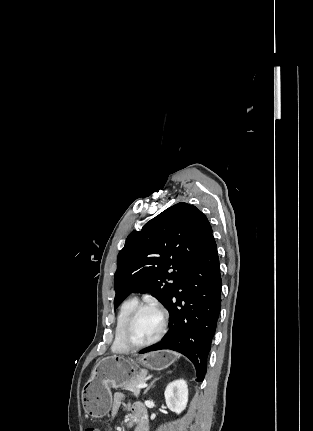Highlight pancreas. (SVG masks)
Returning <instances> with one entry per match:
<instances>
[{
  "label": "pancreas",
  "instance_id": "1",
  "mask_svg": "<svg viewBox=\"0 0 313 431\" xmlns=\"http://www.w3.org/2000/svg\"><path fill=\"white\" fill-rule=\"evenodd\" d=\"M143 375L146 376L145 373H140L136 378L121 384V388L133 392L135 396H139L140 388H137L135 385L145 381V376Z\"/></svg>",
  "mask_w": 313,
  "mask_h": 431
}]
</instances>
